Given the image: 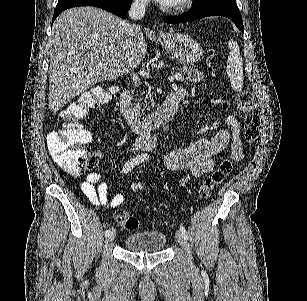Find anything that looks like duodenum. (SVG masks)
Masks as SVG:
<instances>
[{
	"instance_id": "1",
	"label": "duodenum",
	"mask_w": 307,
	"mask_h": 301,
	"mask_svg": "<svg viewBox=\"0 0 307 301\" xmlns=\"http://www.w3.org/2000/svg\"><path fill=\"white\" fill-rule=\"evenodd\" d=\"M181 99V92H172L154 113L143 118L135 111L130 89L126 88L120 95V111L135 132L146 134L171 120L178 111Z\"/></svg>"
}]
</instances>
